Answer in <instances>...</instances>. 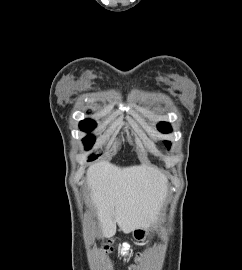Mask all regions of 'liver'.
Listing matches in <instances>:
<instances>
[{
    "label": "liver",
    "instance_id": "6515ba94",
    "mask_svg": "<svg viewBox=\"0 0 242 270\" xmlns=\"http://www.w3.org/2000/svg\"><path fill=\"white\" fill-rule=\"evenodd\" d=\"M87 185L104 237L115 235L116 223L124 233L149 227L168 192L165 175L145 164L120 168L95 163L87 170Z\"/></svg>",
    "mask_w": 242,
    "mask_h": 270
}]
</instances>
